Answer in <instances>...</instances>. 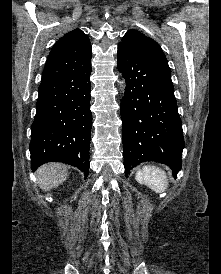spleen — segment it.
<instances>
[{
    "mask_svg": "<svg viewBox=\"0 0 221 274\" xmlns=\"http://www.w3.org/2000/svg\"><path fill=\"white\" fill-rule=\"evenodd\" d=\"M135 179L138 183L145 184L157 193L164 192L168 187V181L163 170L154 166H144L138 170Z\"/></svg>",
    "mask_w": 221,
    "mask_h": 274,
    "instance_id": "obj_1",
    "label": "spleen"
}]
</instances>
